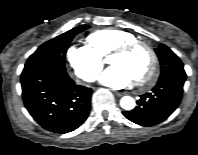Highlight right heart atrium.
Segmentation results:
<instances>
[{
	"instance_id": "obj_1",
	"label": "right heart atrium",
	"mask_w": 198,
	"mask_h": 155,
	"mask_svg": "<svg viewBox=\"0 0 198 155\" xmlns=\"http://www.w3.org/2000/svg\"><path fill=\"white\" fill-rule=\"evenodd\" d=\"M66 60L72 74L86 82L94 81L103 68L102 56L88 45H71Z\"/></svg>"
}]
</instances>
